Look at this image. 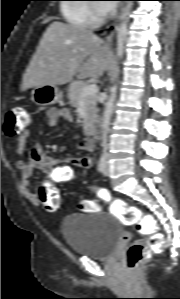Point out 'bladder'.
Segmentation results:
<instances>
[{"mask_svg":"<svg viewBox=\"0 0 180 299\" xmlns=\"http://www.w3.org/2000/svg\"><path fill=\"white\" fill-rule=\"evenodd\" d=\"M60 230L75 254L98 260L110 258L122 238L119 222L107 211L70 214Z\"/></svg>","mask_w":180,"mask_h":299,"instance_id":"1","label":"bladder"}]
</instances>
